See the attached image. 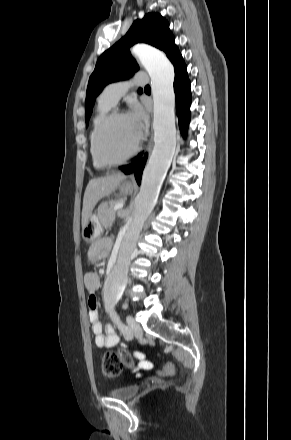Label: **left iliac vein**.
Masks as SVG:
<instances>
[{
	"label": "left iliac vein",
	"mask_w": 291,
	"mask_h": 440,
	"mask_svg": "<svg viewBox=\"0 0 291 440\" xmlns=\"http://www.w3.org/2000/svg\"><path fill=\"white\" fill-rule=\"evenodd\" d=\"M127 323L129 326L130 334L125 335L126 339H132L133 337L140 338L142 336V328L141 326L132 318L127 317Z\"/></svg>",
	"instance_id": "left-iliac-vein-1"
}]
</instances>
